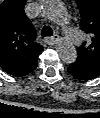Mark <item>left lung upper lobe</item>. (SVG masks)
<instances>
[{"label": "left lung upper lobe", "instance_id": "5c2ea615", "mask_svg": "<svg viewBox=\"0 0 100 118\" xmlns=\"http://www.w3.org/2000/svg\"><path fill=\"white\" fill-rule=\"evenodd\" d=\"M81 14V29L89 42L77 49V59L100 70V0H76Z\"/></svg>", "mask_w": 100, "mask_h": 118}]
</instances>
